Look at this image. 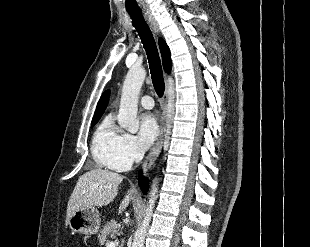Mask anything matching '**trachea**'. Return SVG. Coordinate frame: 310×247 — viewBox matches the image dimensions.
I'll list each match as a JSON object with an SVG mask.
<instances>
[{"mask_svg": "<svg viewBox=\"0 0 310 247\" xmlns=\"http://www.w3.org/2000/svg\"><path fill=\"white\" fill-rule=\"evenodd\" d=\"M128 13L144 45L149 61V67L154 89L157 95L159 97H162L164 94L165 84L160 57L153 34L149 26L147 25L140 10H128Z\"/></svg>", "mask_w": 310, "mask_h": 247, "instance_id": "3493384b", "label": "trachea"}]
</instances>
